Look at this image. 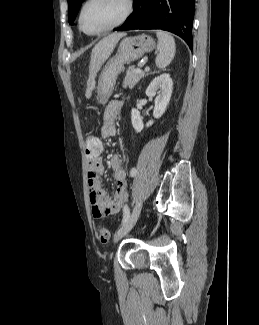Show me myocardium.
<instances>
[{"instance_id":"f54148a6","label":"myocardium","mask_w":259,"mask_h":325,"mask_svg":"<svg viewBox=\"0 0 259 325\" xmlns=\"http://www.w3.org/2000/svg\"><path fill=\"white\" fill-rule=\"evenodd\" d=\"M92 0H85L83 2V4L81 5L80 9H79V13H78V27L79 29L86 35L89 36H98V35H102L106 32H109L111 30H113L114 28L119 27L120 25H122L123 23H125L128 18L131 16L132 12H133V0H124L125 3V11L123 13V15L121 16V18L116 21L115 23H113L112 25L106 27L105 29H102L100 31L97 32H88L84 29L83 24H82V17H83V12L86 8V6L91 2Z\"/></svg>"}]
</instances>
